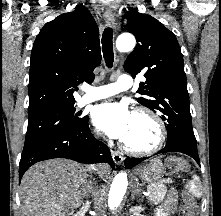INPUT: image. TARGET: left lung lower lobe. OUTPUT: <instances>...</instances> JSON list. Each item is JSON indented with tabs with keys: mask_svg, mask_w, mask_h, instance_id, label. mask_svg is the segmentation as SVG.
Masks as SVG:
<instances>
[{
	"mask_svg": "<svg viewBox=\"0 0 221 216\" xmlns=\"http://www.w3.org/2000/svg\"><path fill=\"white\" fill-rule=\"evenodd\" d=\"M167 152H181L187 154L191 156L200 165V160L197 152V145L183 141H178L176 143H167L165 148L157 152V154L167 153ZM145 159L146 158H127L125 160V166L127 168H130Z\"/></svg>",
	"mask_w": 221,
	"mask_h": 216,
	"instance_id": "1",
	"label": "left lung lower lobe"
}]
</instances>
